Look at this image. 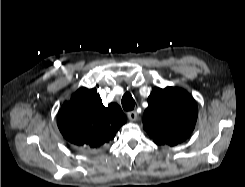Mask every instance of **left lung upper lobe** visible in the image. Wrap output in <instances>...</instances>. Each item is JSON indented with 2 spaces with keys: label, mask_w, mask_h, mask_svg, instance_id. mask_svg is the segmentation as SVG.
I'll use <instances>...</instances> for the list:
<instances>
[{
  "label": "left lung upper lobe",
  "mask_w": 245,
  "mask_h": 187,
  "mask_svg": "<svg viewBox=\"0 0 245 187\" xmlns=\"http://www.w3.org/2000/svg\"><path fill=\"white\" fill-rule=\"evenodd\" d=\"M197 116V104L188 92L175 87H157L148 97L143 128L157 145L175 146L190 136Z\"/></svg>",
  "instance_id": "1"
}]
</instances>
